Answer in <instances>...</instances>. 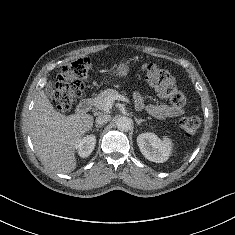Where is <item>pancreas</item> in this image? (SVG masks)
<instances>
[{"instance_id":"pancreas-1","label":"pancreas","mask_w":235,"mask_h":235,"mask_svg":"<svg viewBox=\"0 0 235 235\" xmlns=\"http://www.w3.org/2000/svg\"><path fill=\"white\" fill-rule=\"evenodd\" d=\"M117 95H119V93L114 89L104 90L93 99V105L98 109H103L105 99Z\"/></svg>"}]
</instances>
